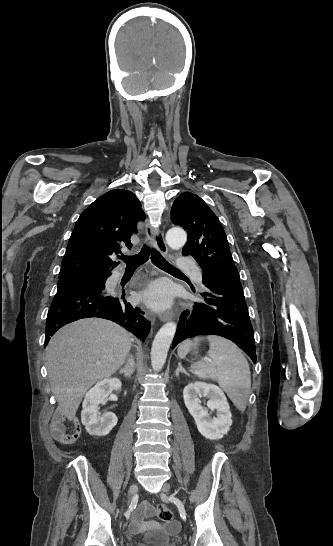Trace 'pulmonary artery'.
Segmentation results:
<instances>
[{
  "label": "pulmonary artery",
  "mask_w": 333,
  "mask_h": 546,
  "mask_svg": "<svg viewBox=\"0 0 333 546\" xmlns=\"http://www.w3.org/2000/svg\"><path fill=\"white\" fill-rule=\"evenodd\" d=\"M179 267L181 269H184V270H187V269H190L192 267V262L186 258H182L179 262ZM194 279L197 281V282H201V273L199 270H195L194 273ZM122 276V272H116L114 275H113V279H118Z\"/></svg>",
  "instance_id": "1"
}]
</instances>
